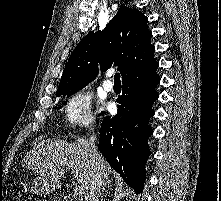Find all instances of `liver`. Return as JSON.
Masks as SVG:
<instances>
[{
  "label": "liver",
  "instance_id": "6515ba94",
  "mask_svg": "<svg viewBox=\"0 0 221 201\" xmlns=\"http://www.w3.org/2000/svg\"><path fill=\"white\" fill-rule=\"evenodd\" d=\"M23 161L26 168L36 171L55 186L59 185V179L68 169L85 190L89 189L93 167L89 140L86 138H77L72 143L62 140H43L27 152ZM98 163L102 178L107 181L106 183H110L111 167L99 153Z\"/></svg>",
  "mask_w": 221,
  "mask_h": 201
}]
</instances>
